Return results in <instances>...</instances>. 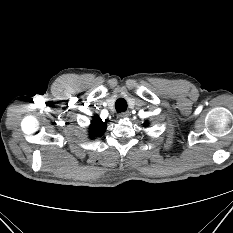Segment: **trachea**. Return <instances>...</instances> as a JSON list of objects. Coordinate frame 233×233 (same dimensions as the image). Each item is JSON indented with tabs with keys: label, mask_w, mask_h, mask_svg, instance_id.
<instances>
[{
	"label": "trachea",
	"mask_w": 233,
	"mask_h": 233,
	"mask_svg": "<svg viewBox=\"0 0 233 233\" xmlns=\"http://www.w3.org/2000/svg\"><path fill=\"white\" fill-rule=\"evenodd\" d=\"M115 108L118 113L124 112L127 109V102L123 98H119L115 103Z\"/></svg>",
	"instance_id": "1"
}]
</instances>
